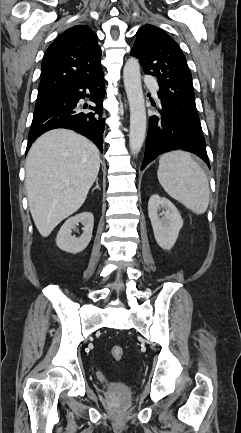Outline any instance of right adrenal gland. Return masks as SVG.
<instances>
[{"label": "right adrenal gland", "instance_id": "right-adrenal-gland-1", "mask_svg": "<svg viewBox=\"0 0 241 433\" xmlns=\"http://www.w3.org/2000/svg\"><path fill=\"white\" fill-rule=\"evenodd\" d=\"M98 178H96V186L92 189V191H94L95 189L101 190V188L99 187V183H98Z\"/></svg>", "mask_w": 241, "mask_h": 433}]
</instances>
